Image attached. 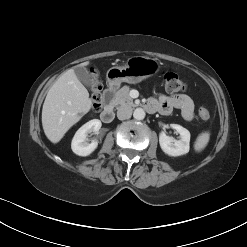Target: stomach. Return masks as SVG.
Returning a JSON list of instances; mask_svg holds the SVG:
<instances>
[{
  "label": "stomach",
  "instance_id": "0dacf381",
  "mask_svg": "<svg viewBox=\"0 0 247 247\" xmlns=\"http://www.w3.org/2000/svg\"><path fill=\"white\" fill-rule=\"evenodd\" d=\"M160 70L159 63L149 57L132 56L122 67H112L107 71V82L111 86H119L122 82L136 84L151 77Z\"/></svg>",
  "mask_w": 247,
  "mask_h": 247
}]
</instances>
